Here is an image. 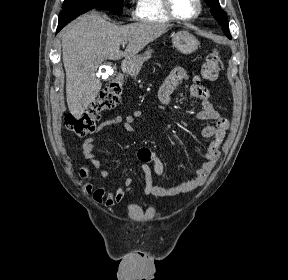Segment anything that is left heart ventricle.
Returning <instances> with one entry per match:
<instances>
[{"label":"left heart ventricle","mask_w":288,"mask_h":280,"mask_svg":"<svg viewBox=\"0 0 288 280\" xmlns=\"http://www.w3.org/2000/svg\"><path fill=\"white\" fill-rule=\"evenodd\" d=\"M175 13L181 18H189L197 11V0H171Z\"/></svg>","instance_id":"obj_1"}]
</instances>
